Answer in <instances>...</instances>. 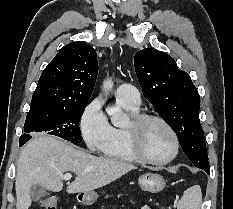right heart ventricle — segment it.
<instances>
[{
	"label": "right heart ventricle",
	"instance_id": "obj_1",
	"mask_svg": "<svg viewBox=\"0 0 233 209\" xmlns=\"http://www.w3.org/2000/svg\"><path fill=\"white\" fill-rule=\"evenodd\" d=\"M117 102L133 117L138 115L140 112L139 106H132L120 100H117ZM101 152L105 157L112 160L129 163L139 162L129 147L126 127H113L111 139L101 149Z\"/></svg>",
	"mask_w": 233,
	"mask_h": 209
}]
</instances>
